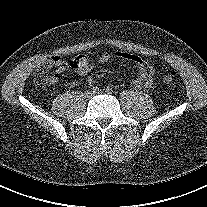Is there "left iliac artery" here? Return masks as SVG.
I'll return each mask as SVG.
<instances>
[{"label": "left iliac artery", "mask_w": 207, "mask_h": 207, "mask_svg": "<svg viewBox=\"0 0 207 207\" xmlns=\"http://www.w3.org/2000/svg\"><path fill=\"white\" fill-rule=\"evenodd\" d=\"M106 93H107V94H112V93H113V90H112L111 88L108 87V88H106Z\"/></svg>", "instance_id": "1"}]
</instances>
